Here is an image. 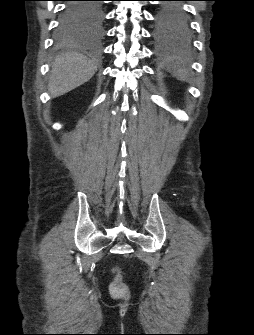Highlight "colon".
Instances as JSON below:
<instances>
[{
    "label": "colon",
    "instance_id": "1",
    "mask_svg": "<svg viewBox=\"0 0 254 335\" xmlns=\"http://www.w3.org/2000/svg\"><path fill=\"white\" fill-rule=\"evenodd\" d=\"M109 290L111 295L115 298H123L128 295V288L123 282L122 276L119 272H116L114 279L109 286Z\"/></svg>",
    "mask_w": 254,
    "mask_h": 335
}]
</instances>
